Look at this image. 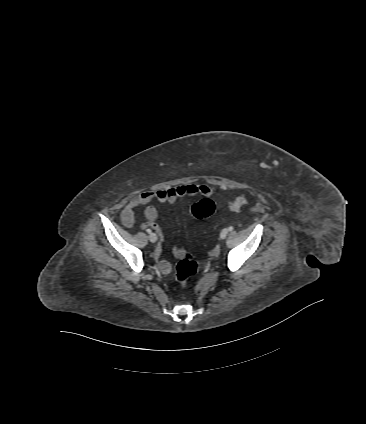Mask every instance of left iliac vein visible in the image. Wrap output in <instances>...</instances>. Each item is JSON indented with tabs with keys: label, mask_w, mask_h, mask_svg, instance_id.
I'll return each instance as SVG.
<instances>
[{
	"label": "left iliac vein",
	"mask_w": 366,
	"mask_h": 424,
	"mask_svg": "<svg viewBox=\"0 0 366 424\" xmlns=\"http://www.w3.org/2000/svg\"><path fill=\"white\" fill-rule=\"evenodd\" d=\"M228 234V229H223L220 233V238L225 239Z\"/></svg>",
	"instance_id": "obj_1"
}]
</instances>
